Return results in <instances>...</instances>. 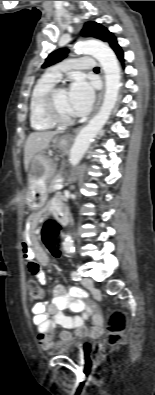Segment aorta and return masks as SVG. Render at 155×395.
<instances>
[{"label":"aorta","instance_id":"762f6f07","mask_svg":"<svg viewBox=\"0 0 155 395\" xmlns=\"http://www.w3.org/2000/svg\"><path fill=\"white\" fill-rule=\"evenodd\" d=\"M75 51L80 54H90L95 57L105 73V94L103 103L97 114L83 127L75 138L70 150V163L76 166L88 150L91 141L108 121L114 109L121 86V73L118 60L113 50L106 44L85 40L78 42ZM63 250L67 254L74 251V244L70 235H65Z\"/></svg>","mask_w":155,"mask_h":395}]
</instances>
